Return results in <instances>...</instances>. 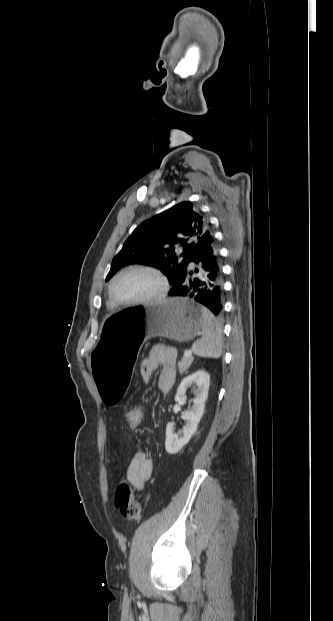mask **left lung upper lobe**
Segmentation results:
<instances>
[{"label": "left lung upper lobe", "mask_w": 333, "mask_h": 621, "mask_svg": "<svg viewBox=\"0 0 333 621\" xmlns=\"http://www.w3.org/2000/svg\"><path fill=\"white\" fill-rule=\"evenodd\" d=\"M208 221L191 202H181L144 221L114 257L106 281L128 264H142L159 269L174 286L185 269L187 259ZM182 249L180 256L176 251Z\"/></svg>", "instance_id": "5c2ea615"}]
</instances>
